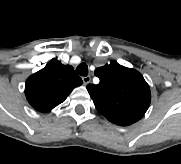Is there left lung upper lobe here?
<instances>
[{"label":"left lung upper lobe","instance_id":"obj_1","mask_svg":"<svg viewBox=\"0 0 181 164\" xmlns=\"http://www.w3.org/2000/svg\"><path fill=\"white\" fill-rule=\"evenodd\" d=\"M100 82L88 84L87 90L97 110L109 121L128 126L140 120L147 111L151 94L143 76L115 61L95 70Z\"/></svg>","mask_w":181,"mask_h":164}]
</instances>
